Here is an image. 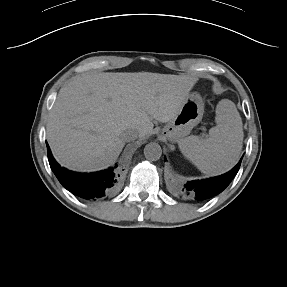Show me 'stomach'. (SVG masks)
Wrapping results in <instances>:
<instances>
[{"mask_svg":"<svg viewBox=\"0 0 287 287\" xmlns=\"http://www.w3.org/2000/svg\"><path fill=\"white\" fill-rule=\"evenodd\" d=\"M204 104L197 94H190L179 113L169 121L162 129V134L172 142H179L190 134L203 117Z\"/></svg>","mask_w":287,"mask_h":287,"instance_id":"0dacf381","label":"stomach"}]
</instances>
